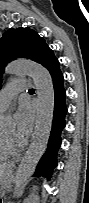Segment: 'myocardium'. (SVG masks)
Masks as SVG:
<instances>
[{
    "label": "myocardium",
    "mask_w": 89,
    "mask_h": 203,
    "mask_svg": "<svg viewBox=\"0 0 89 203\" xmlns=\"http://www.w3.org/2000/svg\"><path fill=\"white\" fill-rule=\"evenodd\" d=\"M0 136L2 139L4 150L6 151L7 154L16 155L23 149L22 144H15L14 142L5 139L2 133Z\"/></svg>",
    "instance_id": "f54148a6"
}]
</instances>
